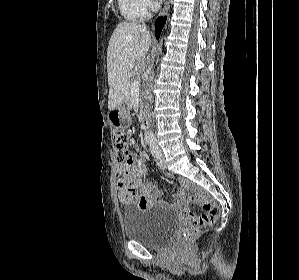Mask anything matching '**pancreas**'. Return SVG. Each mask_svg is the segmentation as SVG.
<instances>
[{
  "label": "pancreas",
  "mask_w": 299,
  "mask_h": 280,
  "mask_svg": "<svg viewBox=\"0 0 299 280\" xmlns=\"http://www.w3.org/2000/svg\"><path fill=\"white\" fill-rule=\"evenodd\" d=\"M132 101H133V96H132L131 92L129 91L128 95H127V99H126V102L129 107H132Z\"/></svg>",
  "instance_id": "obj_1"
}]
</instances>
